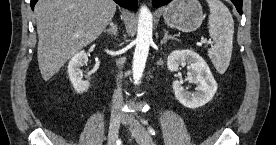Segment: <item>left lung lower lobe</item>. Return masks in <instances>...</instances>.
<instances>
[{"label":"left lung lower lobe","instance_id":"0a47b994","mask_svg":"<svg viewBox=\"0 0 276 145\" xmlns=\"http://www.w3.org/2000/svg\"><path fill=\"white\" fill-rule=\"evenodd\" d=\"M170 1L171 0H152V5L154 7H160V6H163L167 3H169ZM231 1L234 3V5H235L237 11L239 12V14H242V2H243V0H231Z\"/></svg>","mask_w":276,"mask_h":145}]
</instances>
